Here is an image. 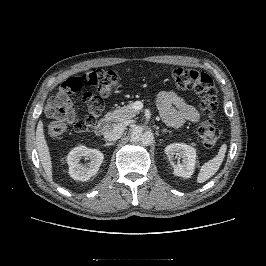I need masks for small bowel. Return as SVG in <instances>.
<instances>
[{"instance_id":"obj_1","label":"small bowel","mask_w":266,"mask_h":266,"mask_svg":"<svg viewBox=\"0 0 266 266\" xmlns=\"http://www.w3.org/2000/svg\"><path fill=\"white\" fill-rule=\"evenodd\" d=\"M157 104L163 121L171 128H179L185 121L197 122L199 120L196 106L173 91L159 93ZM74 113V102L67 94L61 101L58 116L69 122Z\"/></svg>"}]
</instances>
